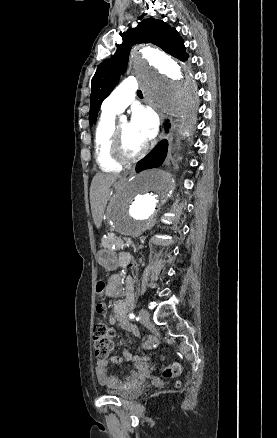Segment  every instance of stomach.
Instances as JSON below:
<instances>
[{"mask_svg": "<svg viewBox=\"0 0 277 438\" xmlns=\"http://www.w3.org/2000/svg\"><path fill=\"white\" fill-rule=\"evenodd\" d=\"M97 261L102 267L110 271L117 266V255L113 250L101 249L97 254Z\"/></svg>", "mask_w": 277, "mask_h": 438, "instance_id": "obj_1", "label": "stomach"}]
</instances>
